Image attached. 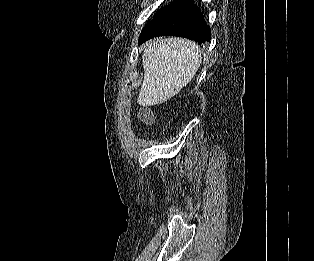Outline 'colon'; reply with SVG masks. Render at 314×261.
Returning <instances> with one entry per match:
<instances>
[{
  "instance_id": "5ec220e1",
  "label": "colon",
  "mask_w": 314,
  "mask_h": 261,
  "mask_svg": "<svg viewBox=\"0 0 314 261\" xmlns=\"http://www.w3.org/2000/svg\"><path fill=\"white\" fill-rule=\"evenodd\" d=\"M137 117L142 123L146 125L151 124L154 118L152 112L147 108L140 109L137 114Z\"/></svg>"
}]
</instances>
